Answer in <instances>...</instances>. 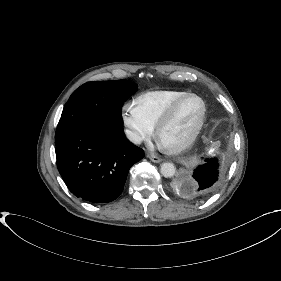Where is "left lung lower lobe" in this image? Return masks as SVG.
<instances>
[{
    "mask_svg": "<svg viewBox=\"0 0 281 281\" xmlns=\"http://www.w3.org/2000/svg\"><path fill=\"white\" fill-rule=\"evenodd\" d=\"M206 164L194 169L193 179L189 184L193 198H205L212 194L219 186L220 173L217 159H205Z\"/></svg>",
    "mask_w": 281,
    "mask_h": 281,
    "instance_id": "obj_1",
    "label": "left lung lower lobe"
}]
</instances>
